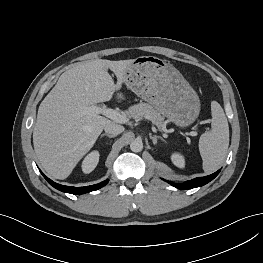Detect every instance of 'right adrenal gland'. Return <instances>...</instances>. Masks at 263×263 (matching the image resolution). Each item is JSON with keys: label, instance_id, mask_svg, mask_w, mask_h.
Here are the masks:
<instances>
[{"label": "right adrenal gland", "instance_id": "obj_1", "mask_svg": "<svg viewBox=\"0 0 263 263\" xmlns=\"http://www.w3.org/2000/svg\"><path fill=\"white\" fill-rule=\"evenodd\" d=\"M104 136H107L108 138H113V137H114L113 135L104 133V134L101 135L100 138H102V137H104Z\"/></svg>", "mask_w": 263, "mask_h": 263}]
</instances>
